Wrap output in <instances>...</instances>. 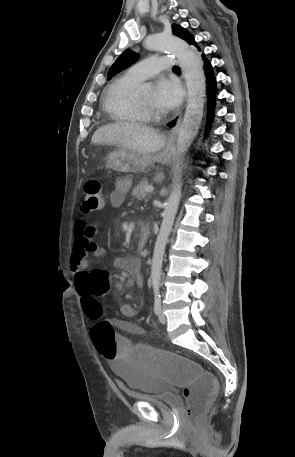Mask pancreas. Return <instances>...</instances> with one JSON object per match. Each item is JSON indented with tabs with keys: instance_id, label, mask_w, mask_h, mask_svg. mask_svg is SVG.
<instances>
[{
	"instance_id": "obj_1",
	"label": "pancreas",
	"mask_w": 295,
	"mask_h": 457,
	"mask_svg": "<svg viewBox=\"0 0 295 457\" xmlns=\"http://www.w3.org/2000/svg\"><path fill=\"white\" fill-rule=\"evenodd\" d=\"M148 185H149V184H148L147 181L141 182L139 185H137V186L133 189L132 196H133V197H136V198L139 199V200H142L143 198H145V196H146L145 188H146Z\"/></svg>"
}]
</instances>
